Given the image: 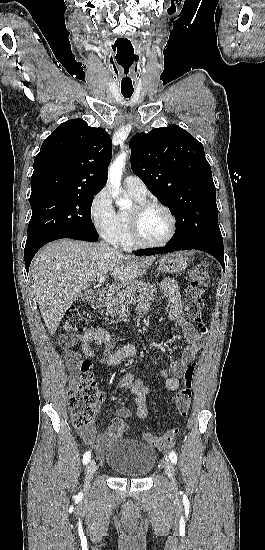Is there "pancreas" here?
I'll use <instances>...</instances> for the list:
<instances>
[{
    "label": "pancreas",
    "mask_w": 265,
    "mask_h": 550,
    "mask_svg": "<svg viewBox=\"0 0 265 550\" xmlns=\"http://www.w3.org/2000/svg\"><path fill=\"white\" fill-rule=\"evenodd\" d=\"M156 289L154 285L142 280L135 281L107 305L106 312L111 316H117L129 303L134 301L151 300Z\"/></svg>",
    "instance_id": "pancreas-1"
}]
</instances>
